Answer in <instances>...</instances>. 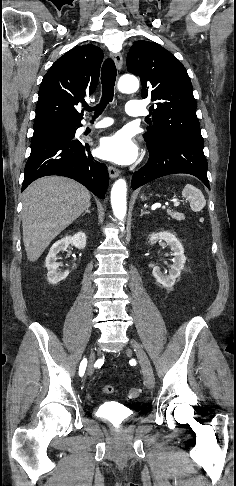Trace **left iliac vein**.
<instances>
[{"label": "left iliac vein", "mask_w": 236, "mask_h": 486, "mask_svg": "<svg viewBox=\"0 0 236 486\" xmlns=\"http://www.w3.org/2000/svg\"><path fill=\"white\" fill-rule=\"evenodd\" d=\"M130 344L142 368L144 383L147 388L152 389L155 385V379L150 360L138 341L131 339Z\"/></svg>", "instance_id": "4c4485c4"}]
</instances>
